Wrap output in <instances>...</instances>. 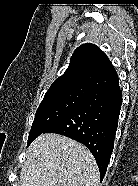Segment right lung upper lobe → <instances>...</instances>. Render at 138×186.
<instances>
[{
  "label": "right lung upper lobe",
  "mask_w": 138,
  "mask_h": 186,
  "mask_svg": "<svg viewBox=\"0 0 138 186\" xmlns=\"http://www.w3.org/2000/svg\"><path fill=\"white\" fill-rule=\"evenodd\" d=\"M69 86L100 90L115 88L119 86V82L106 54L96 45L86 43L74 51L69 67L53 82L48 91Z\"/></svg>",
  "instance_id": "right-lung-upper-lobe-1"
}]
</instances>
